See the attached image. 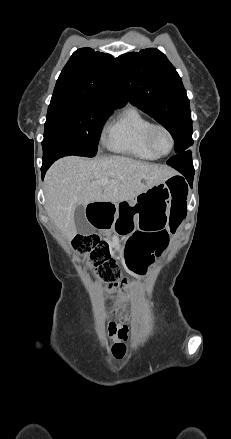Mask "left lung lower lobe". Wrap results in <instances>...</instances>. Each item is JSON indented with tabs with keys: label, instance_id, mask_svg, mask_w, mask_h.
<instances>
[{
	"label": "left lung lower lobe",
	"instance_id": "0a47b994",
	"mask_svg": "<svg viewBox=\"0 0 231 439\" xmlns=\"http://www.w3.org/2000/svg\"><path fill=\"white\" fill-rule=\"evenodd\" d=\"M167 164L182 173L190 185H192L194 177V168L192 164V156L189 150L179 153L167 161Z\"/></svg>",
	"mask_w": 231,
	"mask_h": 439
}]
</instances>
